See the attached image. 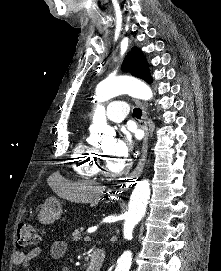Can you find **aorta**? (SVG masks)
Listing matches in <instances>:
<instances>
[{
    "label": "aorta",
    "mask_w": 221,
    "mask_h": 271,
    "mask_svg": "<svg viewBox=\"0 0 221 271\" xmlns=\"http://www.w3.org/2000/svg\"><path fill=\"white\" fill-rule=\"evenodd\" d=\"M96 94L100 102L107 101L121 94H129L143 100H149L153 96L152 90L149 86L143 82L125 76L103 80L98 84ZM92 131L98 133L112 132L111 128L107 125L104 106L99 105L95 110ZM149 199L150 184L148 180H141L132 191L128 210L125 214L123 227L125 238L132 236V231L135 225H137L144 217ZM131 262V251H124L117 261L115 271H129Z\"/></svg>",
    "instance_id": "762f6f07"
}]
</instances>
